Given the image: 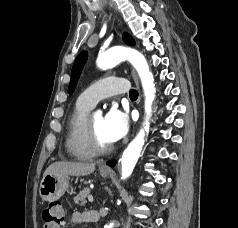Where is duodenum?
Returning a JSON list of instances; mask_svg holds the SVG:
<instances>
[{
    "label": "duodenum",
    "instance_id": "1",
    "mask_svg": "<svg viewBox=\"0 0 238 228\" xmlns=\"http://www.w3.org/2000/svg\"><path fill=\"white\" fill-rule=\"evenodd\" d=\"M88 221H97L99 219L98 211L92 210L85 213Z\"/></svg>",
    "mask_w": 238,
    "mask_h": 228
}]
</instances>
